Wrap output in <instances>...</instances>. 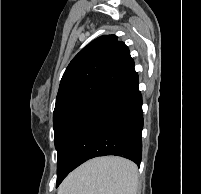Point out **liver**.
Returning <instances> with one entry per match:
<instances>
[{"mask_svg":"<svg viewBox=\"0 0 201 194\" xmlns=\"http://www.w3.org/2000/svg\"><path fill=\"white\" fill-rule=\"evenodd\" d=\"M138 168L130 160L97 157L71 172L57 194H137Z\"/></svg>","mask_w":201,"mask_h":194,"instance_id":"liver-1","label":"liver"}]
</instances>
